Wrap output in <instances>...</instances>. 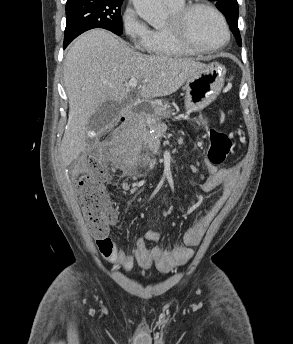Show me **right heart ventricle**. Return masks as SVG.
Masks as SVG:
<instances>
[{"label": "right heart ventricle", "instance_id": "right-heart-ventricle-1", "mask_svg": "<svg viewBox=\"0 0 293 344\" xmlns=\"http://www.w3.org/2000/svg\"><path fill=\"white\" fill-rule=\"evenodd\" d=\"M185 5V0H180L174 4H166L170 13L177 11ZM146 51L159 57H189L194 52L188 50L175 41L166 29L153 30L151 41Z\"/></svg>", "mask_w": 293, "mask_h": 344}]
</instances>
